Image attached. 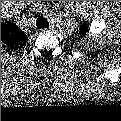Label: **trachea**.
Returning <instances> with one entry per match:
<instances>
[{
    "mask_svg": "<svg viewBox=\"0 0 121 121\" xmlns=\"http://www.w3.org/2000/svg\"><path fill=\"white\" fill-rule=\"evenodd\" d=\"M36 26L37 28H47L49 26V23L46 18H44L43 16H40L36 20Z\"/></svg>",
    "mask_w": 121,
    "mask_h": 121,
    "instance_id": "1",
    "label": "trachea"
}]
</instances>
